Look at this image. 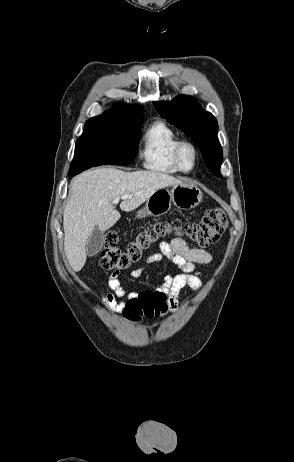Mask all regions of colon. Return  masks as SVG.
<instances>
[{
    "label": "colon",
    "mask_w": 294,
    "mask_h": 462,
    "mask_svg": "<svg viewBox=\"0 0 294 462\" xmlns=\"http://www.w3.org/2000/svg\"><path fill=\"white\" fill-rule=\"evenodd\" d=\"M227 218L220 207L209 208L197 222L185 225L191 240L201 247L215 243L227 228ZM167 223L158 222L136 235L124 249L118 246L119 237L111 232L105 239L103 249L99 254V262L103 269L123 271L138 263L145 252L160 238L169 232ZM169 309L163 294L153 290L140 292L136 297L127 300L123 314L130 320L154 318L164 315Z\"/></svg>",
    "instance_id": "colon-1"
}]
</instances>
